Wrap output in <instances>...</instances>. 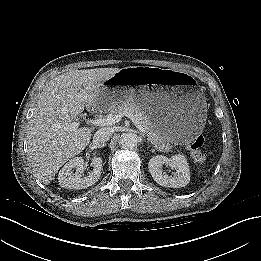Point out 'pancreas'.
I'll list each match as a JSON object with an SVG mask.
<instances>
[{
	"mask_svg": "<svg viewBox=\"0 0 261 261\" xmlns=\"http://www.w3.org/2000/svg\"><path fill=\"white\" fill-rule=\"evenodd\" d=\"M132 113L142 124L146 131L148 140L159 151H170L172 149V142L161 136L155 131L153 124L149 120V116L144 111L142 106L135 102H123L115 105H111L108 109L110 115H115L123 112Z\"/></svg>",
	"mask_w": 261,
	"mask_h": 261,
	"instance_id": "pancreas-1",
	"label": "pancreas"
}]
</instances>
